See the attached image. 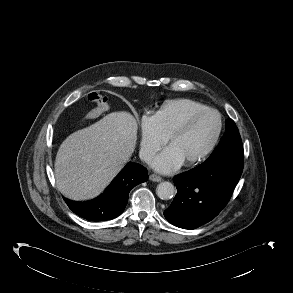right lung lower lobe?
I'll return each mask as SVG.
<instances>
[{
    "instance_id": "right-lung-lower-lobe-1",
    "label": "right lung lower lobe",
    "mask_w": 293,
    "mask_h": 293,
    "mask_svg": "<svg viewBox=\"0 0 293 293\" xmlns=\"http://www.w3.org/2000/svg\"><path fill=\"white\" fill-rule=\"evenodd\" d=\"M147 179V169L140 164L130 162L97 198L86 202H75L66 198L64 200L75 214L84 219L109 220L124 211L130 190Z\"/></svg>"
}]
</instances>
